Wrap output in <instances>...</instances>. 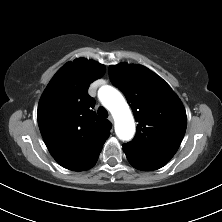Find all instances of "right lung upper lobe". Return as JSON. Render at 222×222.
I'll use <instances>...</instances> for the list:
<instances>
[{
    "mask_svg": "<svg viewBox=\"0 0 222 222\" xmlns=\"http://www.w3.org/2000/svg\"><path fill=\"white\" fill-rule=\"evenodd\" d=\"M105 67L84 58L66 63L54 75L38 105V124L53 158L73 171L90 169L98 160L111 123L99 118L89 85Z\"/></svg>",
    "mask_w": 222,
    "mask_h": 222,
    "instance_id": "obj_1",
    "label": "right lung upper lobe"
}]
</instances>
